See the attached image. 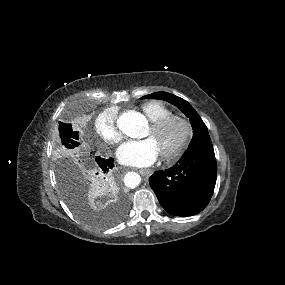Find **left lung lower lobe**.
<instances>
[{
	"instance_id": "obj_1",
	"label": "left lung lower lobe",
	"mask_w": 285,
	"mask_h": 285,
	"mask_svg": "<svg viewBox=\"0 0 285 285\" xmlns=\"http://www.w3.org/2000/svg\"><path fill=\"white\" fill-rule=\"evenodd\" d=\"M217 163L212 145L185 152L172 168L149 178L161 206L170 214L192 216L209 203L216 184Z\"/></svg>"
}]
</instances>
